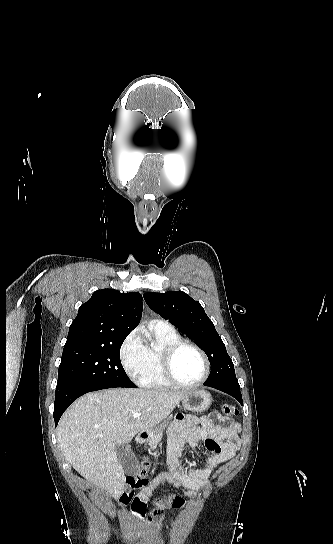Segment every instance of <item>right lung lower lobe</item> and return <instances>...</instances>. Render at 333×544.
I'll use <instances>...</instances> for the list:
<instances>
[{
  "mask_svg": "<svg viewBox=\"0 0 333 544\" xmlns=\"http://www.w3.org/2000/svg\"><path fill=\"white\" fill-rule=\"evenodd\" d=\"M113 387H82L78 384H61L56 386L55 393V404H54V420L55 425L58 424V421L63 414V412L68 408V406L76 400L78 397L82 396L85 393L97 391L101 389H108Z\"/></svg>",
  "mask_w": 333,
  "mask_h": 544,
  "instance_id": "98d812e1",
  "label": "right lung lower lobe"
}]
</instances>
